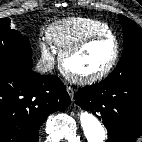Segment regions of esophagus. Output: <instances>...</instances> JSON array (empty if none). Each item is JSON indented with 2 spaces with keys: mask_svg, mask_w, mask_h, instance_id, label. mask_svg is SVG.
I'll return each mask as SVG.
<instances>
[{
  "mask_svg": "<svg viewBox=\"0 0 142 142\" xmlns=\"http://www.w3.org/2000/svg\"><path fill=\"white\" fill-rule=\"evenodd\" d=\"M66 90H67L71 100H73V98H74V90L70 86H67Z\"/></svg>",
  "mask_w": 142,
  "mask_h": 142,
  "instance_id": "esophagus-1",
  "label": "esophagus"
}]
</instances>
